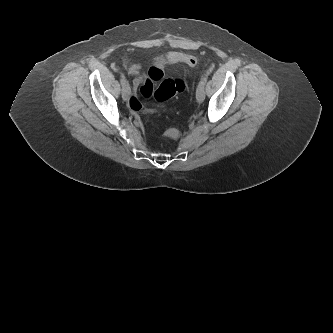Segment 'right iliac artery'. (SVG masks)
I'll use <instances>...</instances> for the list:
<instances>
[{"label":"right iliac artery","mask_w":333,"mask_h":333,"mask_svg":"<svg viewBox=\"0 0 333 333\" xmlns=\"http://www.w3.org/2000/svg\"><path fill=\"white\" fill-rule=\"evenodd\" d=\"M120 82H121L122 87L128 85L127 81L125 79V76L123 74H121V76H120Z\"/></svg>","instance_id":"obj_1"}]
</instances>
